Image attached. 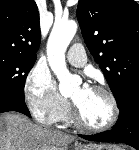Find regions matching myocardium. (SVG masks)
<instances>
[{
	"label": "myocardium",
	"mask_w": 139,
	"mask_h": 150,
	"mask_svg": "<svg viewBox=\"0 0 139 150\" xmlns=\"http://www.w3.org/2000/svg\"><path fill=\"white\" fill-rule=\"evenodd\" d=\"M91 89L99 91L107 96L111 107L110 119L105 124L100 126H92L90 124H87L81 117L80 111L73 100H72V119L77 126L87 131L104 132L110 130L112 127H114V125L117 123L119 119L120 108L118 100L115 94L105 86L94 85L91 87Z\"/></svg>",
	"instance_id": "1"
}]
</instances>
